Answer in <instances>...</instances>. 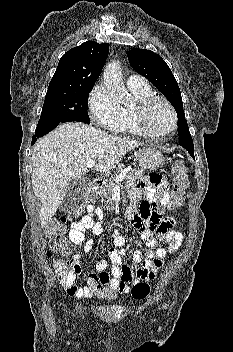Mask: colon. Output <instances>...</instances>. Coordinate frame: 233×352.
Segmentation results:
<instances>
[{
	"label": "colon",
	"mask_w": 233,
	"mask_h": 352,
	"mask_svg": "<svg viewBox=\"0 0 233 352\" xmlns=\"http://www.w3.org/2000/svg\"><path fill=\"white\" fill-rule=\"evenodd\" d=\"M171 173L173 178V191L171 194L170 204L173 207H179L183 204L185 191L189 186V177L187 169L183 161L174 158L171 165ZM92 199V194L84 195L83 203L74 207L67 217H61L58 221H52L45 230L48 240L49 252L67 256L74 250L73 244L64 236L65 223L68 219L79 217L85 210V202ZM55 273L59 280L68 278L72 273V267L64 259L57 258L54 260ZM156 273L151 271L147 274L144 281L136 283L131 289V295L137 300L145 299L151 290V283L155 280ZM109 276L101 274L97 271H90L87 274V287L95 296L100 299H114L117 296V289L109 287L107 282Z\"/></svg>",
	"instance_id": "obj_1"
}]
</instances>
